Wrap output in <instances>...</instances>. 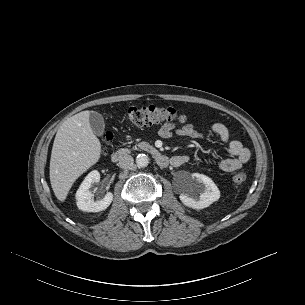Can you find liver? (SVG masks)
Here are the masks:
<instances>
[{
	"mask_svg": "<svg viewBox=\"0 0 305 305\" xmlns=\"http://www.w3.org/2000/svg\"><path fill=\"white\" fill-rule=\"evenodd\" d=\"M90 111L67 119L58 129L50 159V182L56 198L64 202L73 183L98 162L101 144L89 122Z\"/></svg>",
	"mask_w": 305,
	"mask_h": 305,
	"instance_id": "liver-1",
	"label": "liver"
}]
</instances>
